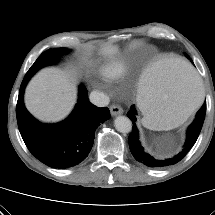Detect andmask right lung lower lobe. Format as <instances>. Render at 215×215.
I'll return each instance as SVG.
<instances>
[{
  "mask_svg": "<svg viewBox=\"0 0 215 215\" xmlns=\"http://www.w3.org/2000/svg\"><path fill=\"white\" fill-rule=\"evenodd\" d=\"M31 77L25 75L16 106L19 131L27 148L52 168L65 169L79 164L93 146L96 128L110 118L109 109L89 102L87 89L81 84L78 103L69 117L60 123L43 124L24 106L23 94Z\"/></svg>",
  "mask_w": 215,
  "mask_h": 215,
  "instance_id": "right-lung-lower-lobe-1",
  "label": "right lung lower lobe"
}]
</instances>
